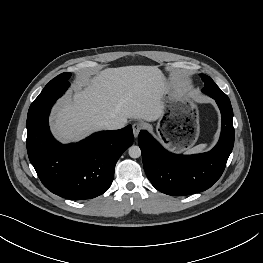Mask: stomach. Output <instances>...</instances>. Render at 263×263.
<instances>
[{"label":"stomach","mask_w":263,"mask_h":263,"mask_svg":"<svg viewBox=\"0 0 263 263\" xmlns=\"http://www.w3.org/2000/svg\"><path fill=\"white\" fill-rule=\"evenodd\" d=\"M163 104L169 113L165 123L158 127L166 136V145L173 151L183 152L191 148L199 136V114L194 102L181 95L175 88L168 86L163 95ZM177 126L172 130L168 123ZM186 129H183V127Z\"/></svg>","instance_id":"1"}]
</instances>
